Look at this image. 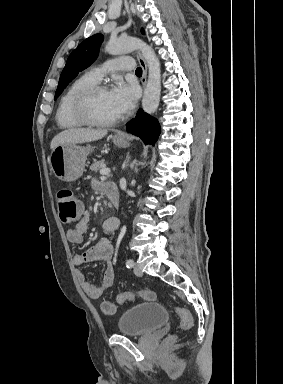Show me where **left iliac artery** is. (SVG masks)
I'll list each match as a JSON object with an SVG mask.
<instances>
[{"label":"left iliac artery","mask_w":283,"mask_h":384,"mask_svg":"<svg viewBox=\"0 0 283 384\" xmlns=\"http://www.w3.org/2000/svg\"><path fill=\"white\" fill-rule=\"evenodd\" d=\"M134 266V261L132 259L127 260L126 267L132 268Z\"/></svg>","instance_id":"obj_1"}]
</instances>
